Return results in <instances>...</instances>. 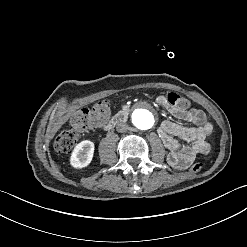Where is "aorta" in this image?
<instances>
[{
	"mask_svg": "<svg viewBox=\"0 0 247 247\" xmlns=\"http://www.w3.org/2000/svg\"><path fill=\"white\" fill-rule=\"evenodd\" d=\"M135 125L140 129H150L153 126L154 120L152 115L144 109L139 110L133 115Z\"/></svg>",
	"mask_w": 247,
	"mask_h": 247,
	"instance_id": "obj_1",
	"label": "aorta"
}]
</instances>
